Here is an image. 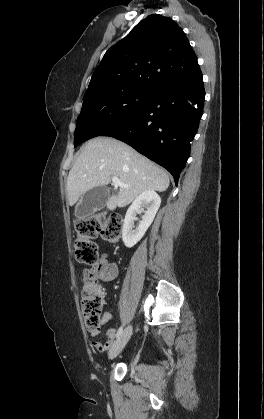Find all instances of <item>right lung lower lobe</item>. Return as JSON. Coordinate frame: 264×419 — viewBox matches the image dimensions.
I'll use <instances>...</instances> for the list:
<instances>
[{"label": "right lung lower lobe", "instance_id": "98d812e1", "mask_svg": "<svg viewBox=\"0 0 264 419\" xmlns=\"http://www.w3.org/2000/svg\"><path fill=\"white\" fill-rule=\"evenodd\" d=\"M202 76L190 84L154 91L130 117L100 136H110L167 169L177 184L203 114Z\"/></svg>", "mask_w": 264, "mask_h": 419}]
</instances>
